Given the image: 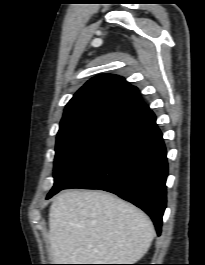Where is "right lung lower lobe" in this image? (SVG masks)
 Returning a JSON list of instances; mask_svg holds the SVG:
<instances>
[{
    "instance_id": "right-lung-lower-lobe-1",
    "label": "right lung lower lobe",
    "mask_w": 205,
    "mask_h": 265,
    "mask_svg": "<svg viewBox=\"0 0 205 265\" xmlns=\"http://www.w3.org/2000/svg\"><path fill=\"white\" fill-rule=\"evenodd\" d=\"M166 155L156 117L149 110L129 123L63 189H100L117 194L144 210L160 235L166 208Z\"/></svg>"
}]
</instances>
